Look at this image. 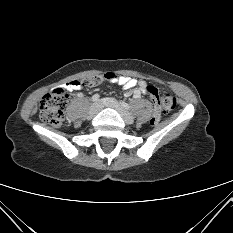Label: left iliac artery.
Masks as SVG:
<instances>
[{"label":"left iliac artery","instance_id":"1","mask_svg":"<svg viewBox=\"0 0 233 233\" xmlns=\"http://www.w3.org/2000/svg\"><path fill=\"white\" fill-rule=\"evenodd\" d=\"M121 103V105L125 108V109H127V110H129L130 109V106L127 104V103H125V102H120Z\"/></svg>","mask_w":233,"mask_h":233}]
</instances>
